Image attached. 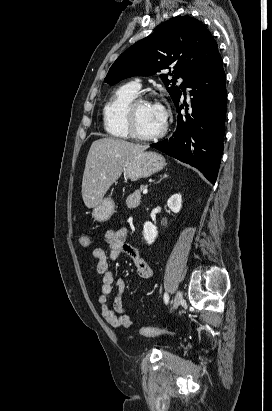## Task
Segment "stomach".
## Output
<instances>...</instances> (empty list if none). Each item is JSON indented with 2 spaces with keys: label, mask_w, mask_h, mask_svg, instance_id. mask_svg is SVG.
<instances>
[{
  "label": "stomach",
  "mask_w": 272,
  "mask_h": 411,
  "mask_svg": "<svg viewBox=\"0 0 272 411\" xmlns=\"http://www.w3.org/2000/svg\"><path fill=\"white\" fill-rule=\"evenodd\" d=\"M165 166V159L162 155L153 152H141L128 161L122 172L124 176L131 180L147 178L152 174L162 170ZM115 203L113 199L107 197L95 206L92 217L97 222L108 221L114 213Z\"/></svg>",
  "instance_id": "stomach-1"
}]
</instances>
